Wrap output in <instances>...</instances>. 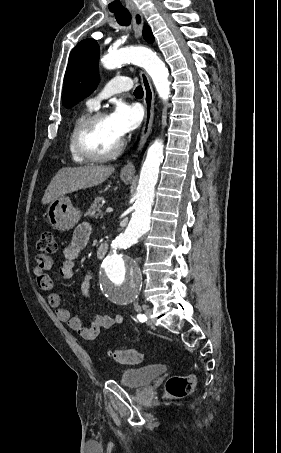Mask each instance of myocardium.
Here are the masks:
<instances>
[{"instance_id": "f54148a6", "label": "myocardium", "mask_w": 281, "mask_h": 453, "mask_svg": "<svg viewBox=\"0 0 281 453\" xmlns=\"http://www.w3.org/2000/svg\"><path fill=\"white\" fill-rule=\"evenodd\" d=\"M108 118V115L104 112L93 114L86 119L80 126L76 136V147L79 154L86 160L89 161H106L117 157L124 148L125 140L122 138L116 147L107 153H96L89 146V138L93 129L103 120Z\"/></svg>"}]
</instances>
